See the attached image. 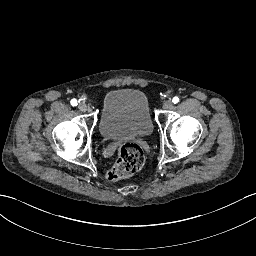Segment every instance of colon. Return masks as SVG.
<instances>
[{"label":"colon","mask_w":256,"mask_h":256,"mask_svg":"<svg viewBox=\"0 0 256 256\" xmlns=\"http://www.w3.org/2000/svg\"><path fill=\"white\" fill-rule=\"evenodd\" d=\"M146 161L142 148L134 142H126L120 145L118 158L114 166L106 173L108 181H116L130 177L140 170Z\"/></svg>","instance_id":"5ec220e1"}]
</instances>
